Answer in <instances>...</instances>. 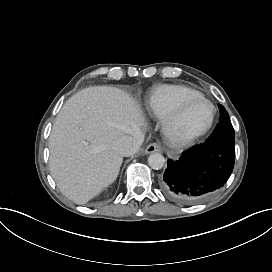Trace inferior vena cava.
Listing matches in <instances>:
<instances>
[{"mask_svg": "<svg viewBox=\"0 0 272 272\" xmlns=\"http://www.w3.org/2000/svg\"><path fill=\"white\" fill-rule=\"evenodd\" d=\"M145 139V133L143 131L137 130L133 136L124 135L120 137L114 148L122 156L134 155L140 146L143 144Z\"/></svg>", "mask_w": 272, "mask_h": 272, "instance_id": "obj_1", "label": "inferior vena cava"}]
</instances>
